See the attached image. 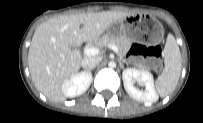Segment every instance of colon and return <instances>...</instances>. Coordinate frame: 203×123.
Here are the masks:
<instances>
[{
	"mask_svg": "<svg viewBox=\"0 0 203 123\" xmlns=\"http://www.w3.org/2000/svg\"><path fill=\"white\" fill-rule=\"evenodd\" d=\"M161 50L159 47L150 48L147 51V56L153 64L155 71L159 72L162 69V61L160 59Z\"/></svg>",
	"mask_w": 203,
	"mask_h": 123,
	"instance_id": "obj_1",
	"label": "colon"
}]
</instances>
